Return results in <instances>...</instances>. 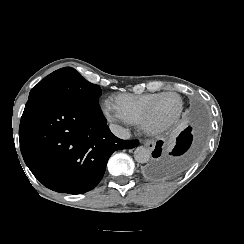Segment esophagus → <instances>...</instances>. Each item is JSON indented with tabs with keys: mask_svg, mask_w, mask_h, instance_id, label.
<instances>
[{
	"mask_svg": "<svg viewBox=\"0 0 244 244\" xmlns=\"http://www.w3.org/2000/svg\"><path fill=\"white\" fill-rule=\"evenodd\" d=\"M144 146H146L150 151H153L155 148V141L154 140H145L142 142Z\"/></svg>",
	"mask_w": 244,
	"mask_h": 244,
	"instance_id": "esophagus-1",
	"label": "esophagus"
}]
</instances>
